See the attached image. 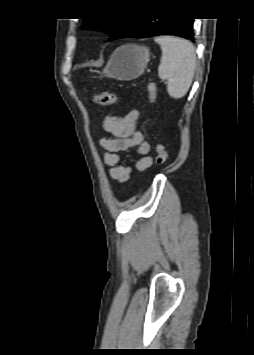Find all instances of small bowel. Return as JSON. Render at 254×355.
<instances>
[{"instance_id": "small-bowel-1", "label": "small bowel", "mask_w": 254, "mask_h": 355, "mask_svg": "<svg viewBox=\"0 0 254 355\" xmlns=\"http://www.w3.org/2000/svg\"><path fill=\"white\" fill-rule=\"evenodd\" d=\"M139 115V111L133 109L125 116L108 114L103 121L104 130L112 135L100 140V145L105 149L103 159L110 166L111 177L118 182H126L132 176L131 167L120 164L121 152L136 148L140 158L134 161V167L139 171H145L153 164L149 155L150 144L143 132L137 129Z\"/></svg>"}]
</instances>
